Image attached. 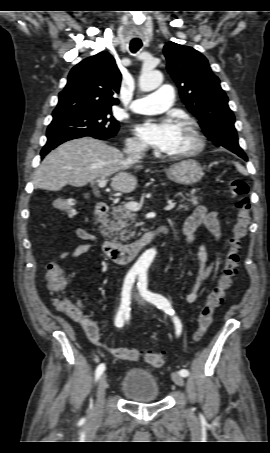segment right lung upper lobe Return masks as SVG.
Here are the masks:
<instances>
[{
	"label": "right lung upper lobe",
	"mask_w": 270,
	"mask_h": 453,
	"mask_svg": "<svg viewBox=\"0 0 270 453\" xmlns=\"http://www.w3.org/2000/svg\"><path fill=\"white\" fill-rule=\"evenodd\" d=\"M120 82L121 73L108 52L84 59L70 71L53 117L111 110L118 104L114 95L119 93Z\"/></svg>",
	"instance_id": "cb5924a9"
}]
</instances>
